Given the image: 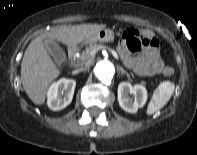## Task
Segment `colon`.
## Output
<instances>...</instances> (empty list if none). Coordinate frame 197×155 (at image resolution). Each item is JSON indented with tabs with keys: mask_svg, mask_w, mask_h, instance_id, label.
I'll list each match as a JSON object with an SVG mask.
<instances>
[{
	"mask_svg": "<svg viewBox=\"0 0 197 155\" xmlns=\"http://www.w3.org/2000/svg\"><path fill=\"white\" fill-rule=\"evenodd\" d=\"M123 38L127 41V46L130 51L136 52L144 47L158 46L157 40L153 36H143L137 29L128 28L123 32ZM163 74L170 76L173 74V69L166 67Z\"/></svg>",
	"mask_w": 197,
	"mask_h": 155,
	"instance_id": "5ec220e1",
	"label": "colon"
}]
</instances>
